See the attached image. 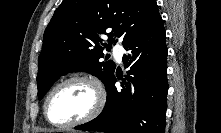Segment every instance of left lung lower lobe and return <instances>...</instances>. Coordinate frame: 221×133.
<instances>
[{
    "instance_id": "1",
    "label": "left lung lower lobe",
    "mask_w": 221,
    "mask_h": 133,
    "mask_svg": "<svg viewBox=\"0 0 221 133\" xmlns=\"http://www.w3.org/2000/svg\"><path fill=\"white\" fill-rule=\"evenodd\" d=\"M161 16L123 46L129 76L117 90L115 73L108 81L107 102L94 120L75 129L105 133H164L166 125L167 47Z\"/></svg>"
}]
</instances>
